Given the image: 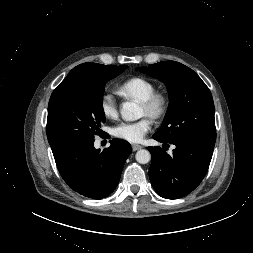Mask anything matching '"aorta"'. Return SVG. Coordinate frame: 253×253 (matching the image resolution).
Returning <instances> with one entry per match:
<instances>
[{
    "instance_id": "1",
    "label": "aorta",
    "mask_w": 253,
    "mask_h": 253,
    "mask_svg": "<svg viewBox=\"0 0 253 253\" xmlns=\"http://www.w3.org/2000/svg\"><path fill=\"white\" fill-rule=\"evenodd\" d=\"M121 115L127 121H135L141 118L142 109L134 101H127L122 104ZM136 161L140 164H147L151 159V154L146 149L137 151L135 155Z\"/></svg>"
}]
</instances>
